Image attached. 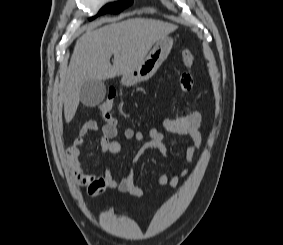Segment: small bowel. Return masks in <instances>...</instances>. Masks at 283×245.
Masks as SVG:
<instances>
[{"mask_svg":"<svg viewBox=\"0 0 283 245\" xmlns=\"http://www.w3.org/2000/svg\"><path fill=\"white\" fill-rule=\"evenodd\" d=\"M194 80L190 73L184 72L180 77V86L184 91L193 88ZM203 117L199 112H187L175 115L173 117H165L162 121L163 129L173 135L183 137L187 140L185 158L190 165L194 160V155L200 149L202 144V134L200 128ZM98 130L95 121L86 122L80 129L78 137L73 144L67 149V159L70 170L76 182L87 188L89 195L98 196L103 194L107 189H114L120 192L130 193L135 196L143 195V191L134 184V172L130 168L125 178L116 180L113 178L110 170H106L102 175L95 176L86 173L80 162V147L84 142V137L93 131ZM100 145L104 154L116 155L122 149V143L118 139V128L115 122L108 121L101 127ZM126 141H135L142 143L133 158L135 164L139 157L147 150L154 149L162 155H167L168 150L164 144V132L158 128H151L148 131V140L144 141V133L133 128H126L123 132ZM189 173V167H184L171 177L162 174L157 177V184L160 186L169 185L176 187L182 179Z\"/></svg>","mask_w":283,"mask_h":245,"instance_id":"1","label":"small bowel"}]
</instances>
